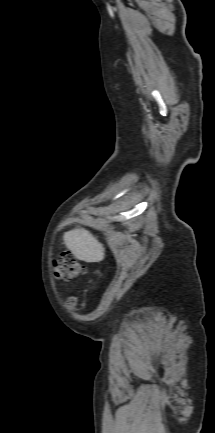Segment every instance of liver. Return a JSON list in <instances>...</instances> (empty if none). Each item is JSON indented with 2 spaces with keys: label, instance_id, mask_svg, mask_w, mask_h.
Instances as JSON below:
<instances>
[{
  "label": "liver",
  "instance_id": "6515ba94",
  "mask_svg": "<svg viewBox=\"0 0 215 433\" xmlns=\"http://www.w3.org/2000/svg\"><path fill=\"white\" fill-rule=\"evenodd\" d=\"M66 247L79 260L87 263L100 262L105 257V249L88 230L75 229L64 233Z\"/></svg>",
  "mask_w": 215,
  "mask_h": 433
}]
</instances>
